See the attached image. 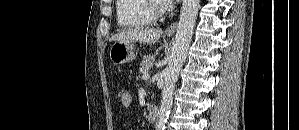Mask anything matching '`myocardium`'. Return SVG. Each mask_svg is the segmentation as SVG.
<instances>
[{"label":"myocardium","instance_id":"obj_1","mask_svg":"<svg viewBox=\"0 0 299 130\" xmlns=\"http://www.w3.org/2000/svg\"><path fill=\"white\" fill-rule=\"evenodd\" d=\"M149 12L155 17L159 18L162 17L165 12V5L160 0H149L147 3Z\"/></svg>","mask_w":299,"mask_h":130}]
</instances>
